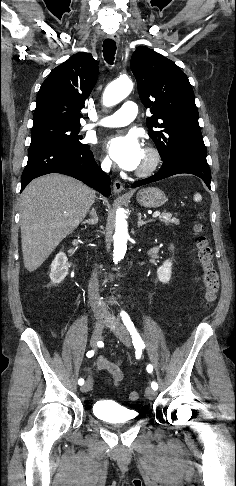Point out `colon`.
<instances>
[{
  "label": "colon",
  "mask_w": 236,
  "mask_h": 486,
  "mask_svg": "<svg viewBox=\"0 0 236 486\" xmlns=\"http://www.w3.org/2000/svg\"><path fill=\"white\" fill-rule=\"evenodd\" d=\"M197 234L196 248L197 258L203 270V283L205 286V304L210 307L217 298L219 291V277L213 262V252L207 238L202 233L201 225L195 226ZM140 398L138 391H132L129 399L136 401Z\"/></svg>",
  "instance_id": "5ec220e1"
}]
</instances>
